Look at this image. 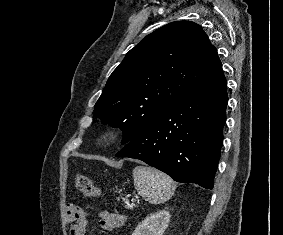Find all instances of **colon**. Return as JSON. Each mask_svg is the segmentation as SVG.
I'll use <instances>...</instances> for the list:
<instances>
[{
    "label": "colon",
    "instance_id": "5ec220e1",
    "mask_svg": "<svg viewBox=\"0 0 283 235\" xmlns=\"http://www.w3.org/2000/svg\"><path fill=\"white\" fill-rule=\"evenodd\" d=\"M75 183L79 191L85 196L96 198L102 195V192L99 187L87 175L81 173L76 174Z\"/></svg>",
    "mask_w": 283,
    "mask_h": 235
}]
</instances>
